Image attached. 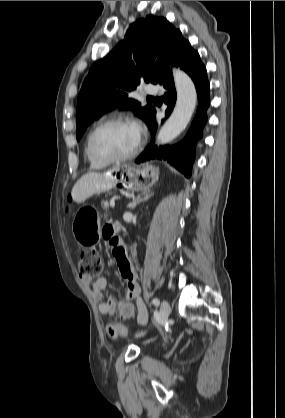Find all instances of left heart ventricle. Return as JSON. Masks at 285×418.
<instances>
[{
    "label": "left heart ventricle",
    "mask_w": 285,
    "mask_h": 418,
    "mask_svg": "<svg viewBox=\"0 0 285 418\" xmlns=\"http://www.w3.org/2000/svg\"><path fill=\"white\" fill-rule=\"evenodd\" d=\"M137 139L129 125H113L101 130L95 138V146L103 153L122 156L129 153Z\"/></svg>",
    "instance_id": "obj_1"
}]
</instances>
